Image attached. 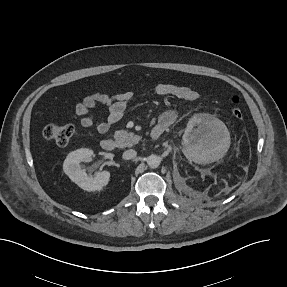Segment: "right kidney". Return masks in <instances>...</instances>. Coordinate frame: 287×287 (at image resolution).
I'll return each instance as SVG.
<instances>
[{
	"mask_svg": "<svg viewBox=\"0 0 287 287\" xmlns=\"http://www.w3.org/2000/svg\"><path fill=\"white\" fill-rule=\"evenodd\" d=\"M93 152L89 149H78L71 152L65 159L63 170L65 174L85 191H100L110 180L109 171L96 173L95 177H90L85 170L81 168V162L89 159Z\"/></svg>",
	"mask_w": 287,
	"mask_h": 287,
	"instance_id": "right-kidney-1",
	"label": "right kidney"
}]
</instances>
